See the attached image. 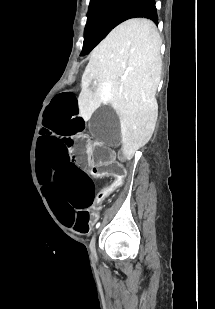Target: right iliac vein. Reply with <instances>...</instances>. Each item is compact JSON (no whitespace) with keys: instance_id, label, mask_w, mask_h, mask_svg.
Returning <instances> with one entry per match:
<instances>
[{"instance_id":"1","label":"right iliac vein","mask_w":215,"mask_h":309,"mask_svg":"<svg viewBox=\"0 0 215 309\" xmlns=\"http://www.w3.org/2000/svg\"><path fill=\"white\" fill-rule=\"evenodd\" d=\"M90 250L92 253L96 252V247H95V235L92 237L91 242H90Z\"/></svg>"}]
</instances>
